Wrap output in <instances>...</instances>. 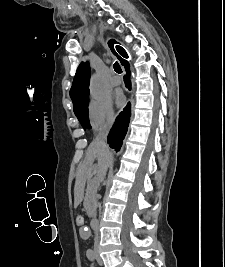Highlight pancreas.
Here are the masks:
<instances>
[{
  "mask_svg": "<svg viewBox=\"0 0 225 267\" xmlns=\"http://www.w3.org/2000/svg\"><path fill=\"white\" fill-rule=\"evenodd\" d=\"M95 192H96V185L93 182H90L84 198V208L88 216L90 217L95 215V206H94Z\"/></svg>",
  "mask_w": 225,
  "mask_h": 267,
  "instance_id": "pancreas-1",
  "label": "pancreas"
}]
</instances>
